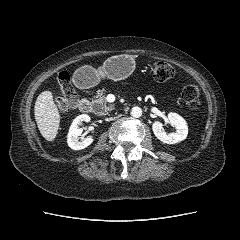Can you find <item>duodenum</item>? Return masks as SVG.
<instances>
[{
	"instance_id": "1",
	"label": "duodenum",
	"mask_w": 240,
	"mask_h": 240,
	"mask_svg": "<svg viewBox=\"0 0 240 240\" xmlns=\"http://www.w3.org/2000/svg\"><path fill=\"white\" fill-rule=\"evenodd\" d=\"M81 85H84V82ZM79 109L84 113H89L92 109L91 101L86 97L82 98L79 102Z\"/></svg>"
}]
</instances>
